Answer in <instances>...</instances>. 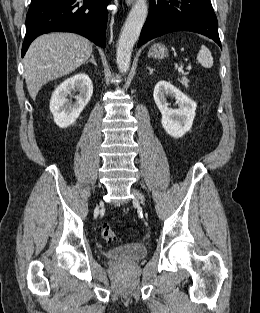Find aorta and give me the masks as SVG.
Wrapping results in <instances>:
<instances>
[{
    "label": "aorta",
    "instance_id": "762f6f07",
    "mask_svg": "<svg viewBox=\"0 0 260 313\" xmlns=\"http://www.w3.org/2000/svg\"><path fill=\"white\" fill-rule=\"evenodd\" d=\"M147 14V1L136 0L123 25L117 43L116 59L121 73L129 70L133 47L140 36Z\"/></svg>",
    "mask_w": 260,
    "mask_h": 313
}]
</instances>
